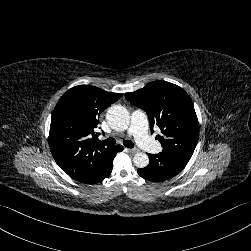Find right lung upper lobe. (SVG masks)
Returning <instances> with one entry per match:
<instances>
[{
    "label": "right lung upper lobe",
    "instance_id": "obj_1",
    "mask_svg": "<svg viewBox=\"0 0 251 251\" xmlns=\"http://www.w3.org/2000/svg\"><path fill=\"white\" fill-rule=\"evenodd\" d=\"M120 97L119 93L79 85L58 101L51 118L49 145L56 163L73 179H91L114 155V146L97 142L94 129L100 113Z\"/></svg>",
    "mask_w": 251,
    "mask_h": 251
}]
</instances>
